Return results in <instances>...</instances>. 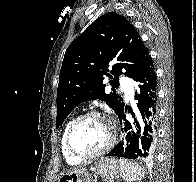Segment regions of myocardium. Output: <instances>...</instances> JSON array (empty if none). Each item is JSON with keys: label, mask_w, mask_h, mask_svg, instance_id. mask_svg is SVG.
Instances as JSON below:
<instances>
[{"label": "myocardium", "mask_w": 196, "mask_h": 182, "mask_svg": "<svg viewBox=\"0 0 196 182\" xmlns=\"http://www.w3.org/2000/svg\"><path fill=\"white\" fill-rule=\"evenodd\" d=\"M87 118L101 119L106 124L107 130H108V136H107V141L105 145L99 151L92 153V154H83V153L78 152L76 149H74L71 143V137H72V134L75 128L78 126L79 123H81L83 120ZM114 141H115V134H114V128L111 122L105 115H103L102 113L98 111H88L76 117L69 125L66 135H65V146H66L67 151L72 156L80 160H91V159H95V158H98L106 154L112 148Z\"/></svg>", "instance_id": "obj_1"}]
</instances>
